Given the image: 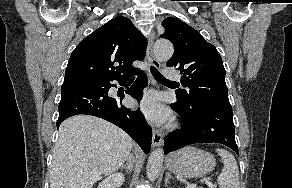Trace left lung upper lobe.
I'll use <instances>...</instances> for the list:
<instances>
[{"label": "left lung upper lobe", "instance_id": "obj_1", "mask_svg": "<svg viewBox=\"0 0 292 188\" xmlns=\"http://www.w3.org/2000/svg\"><path fill=\"white\" fill-rule=\"evenodd\" d=\"M164 38L174 45L167 66L181 71V83L188 90H176L177 101L185 106L230 104L225 83V69L216 48L202 35L179 19L166 18Z\"/></svg>", "mask_w": 292, "mask_h": 188}]
</instances>
